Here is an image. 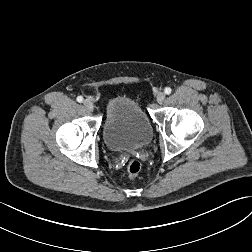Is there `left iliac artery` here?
<instances>
[{"instance_id":"left-iliac-artery-1","label":"left iliac artery","mask_w":252,"mask_h":252,"mask_svg":"<svg viewBox=\"0 0 252 252\" xmlns=\"http://www.w3.org/2000/svg\"><path fill=\"white\" fill-rule=\"evenodd\" d=\"M171 91L172 90H171L170 87H166L165 90H164L165 94H167V95H169L171 93Z\"/></svg>"}]
</instances>
